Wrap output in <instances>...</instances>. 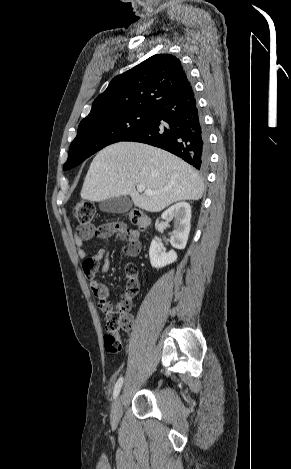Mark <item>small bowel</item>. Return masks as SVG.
Here are the masks:
<instances>
[{
    "label": "small bowel",
    "instance_id": "small-bowel-1",
    "mask_svg": "<svg viewBox=\"0 0 291 469\" xmlns=\"http://www.w3.org/2000/svg\"><path fill=\"white\" fill-rule=\"evenodd\" d=\"M100 227L104 228L106 232L101 236L102 238L111 237L115 234L119 235L126 241V245L124 251L128 256H136L140 250V244L138 241V234L137 232L129 228L128 226L122 223H106L101 225ZM93 231L96 230L94 226H92ZM94 234L85 235L81 234L78 230L75 232L74 235V242L77 248V255L80 259H83V270L85 275L91 281V288L93 291L94 296L97 298L99 302V306L101 310L105 313L107 310L113 308V304L108 300L109 291L108 288L101 283L97 278V263L103 261L102 266L99 269L100 274L107 273L111 268V261L109 258V253L105 249H100L93 255L88 256L87 251L85 249V242L89 240ZM94 263L96 265V269H89L88 263Z\"/></svg>",
    "mask_w": 291,
    "mask_h": 469
}]
</instances>
